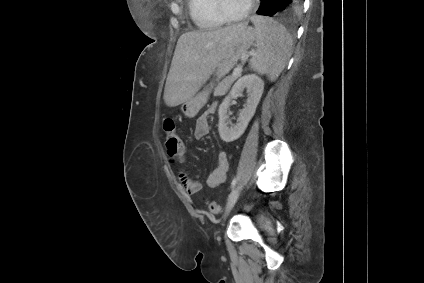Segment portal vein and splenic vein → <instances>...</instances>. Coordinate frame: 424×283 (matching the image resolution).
<instances>
[{"mask_svg":"<svg viewBox=\"0 0 424 283\" xmlns=\"http://www.w3.org/2000/svg\"><path fill=\"white\" fill-rule=\"evenodd\" d=\"M249 55H252V53L245 54V55L242 57V59H243V60L247 59ZM240 73H241V67H240V66H238L237 68H235V69L233 70V75H234V76H237V75H239Z\"/></svg>","mask_w":424,"mask_h":283,"instance_id":"obj_1","label":"portal vein and splenic vein"}]
</instances>
